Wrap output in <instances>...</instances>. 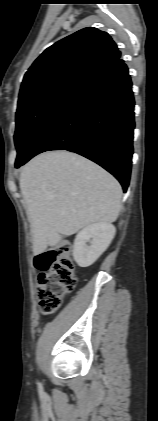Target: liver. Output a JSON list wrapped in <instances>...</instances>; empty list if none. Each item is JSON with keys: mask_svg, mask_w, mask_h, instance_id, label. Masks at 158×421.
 Returning <instances> with one entry per match:
<instances>
[{"mask_svg": "<svg viewBox=\"0 0 158 421\" xmlns=\"http://www.w3.org/2000/svg\"><path fill=\"white\" fill-rule=\"evenodd\" d=\"M20 189L33 235V252H44L95 223L114 222L122 188L103 168L68 151H49L22 169Z\"/></svg>", "mask_w": 158, "mask_h": 421, "instance_id": "1", "label": "liver"}]
</instances>
